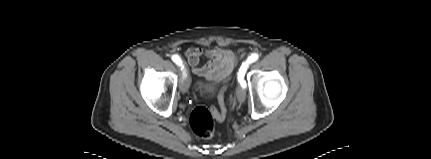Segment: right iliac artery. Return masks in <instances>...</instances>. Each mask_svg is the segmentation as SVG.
Segmentation results:
<instances>
[{"instance_id": "82829eb1", "label": "right iliac artery", "mask_w": 431, "mask_h": 159, "mask_svg": "<svg viewBox=\"0 0 431 159\" xmlns=\"http://www.w3.org/2000/svg\"><path fill=\"white\" fill-rule=\"evenodd\" d=\"M173 62H175L177 65L182 66L181 69H184V66L182 65V60L178 55L172 56Z\"/></svg>"}]
</instances>
